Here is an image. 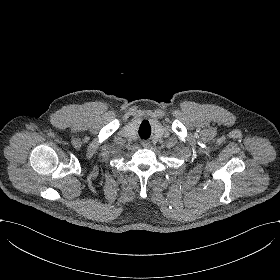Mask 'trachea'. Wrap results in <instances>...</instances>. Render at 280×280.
Listing matches in <instances>:
<instances>
[{
  "mask_svg": "<svg viewBox=\"0 0 280 280\" xmlns=\"http://www.w3.org/2000/svg\"><path fill=\"white\" fill-rule=\"evenodd\" d=\"M139 135H140L142 138H147V137H148V135L145 134V133H139Z\"/></svg>",
  "mask_w": 280,
  "mask_h": 280,
  "instance_id": "trachea-1",
  "label": "trachea"
}]
</instances>
